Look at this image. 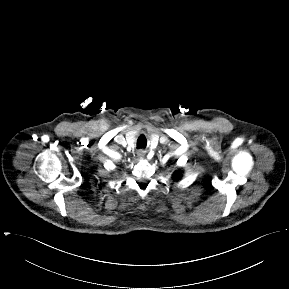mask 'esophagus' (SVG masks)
Segmentation results:
<instances>
[{
  "instance_id": "34e87169",
  "label": "esophagus",
  "mask_w": 289,
  "mask_h": 289,
  "mask_svg": "<svg viewBox=\"0 0 289 289\" xmlns=\"http://www.w3.org/2000/svg\"><path fill=\"white\" fill-rule=\"evenodd\" d=\"M145 154H146V151H144V150H138V152H137V155H138V157H140V158L144 157Z\"/></svg>"
}]
</instances>
